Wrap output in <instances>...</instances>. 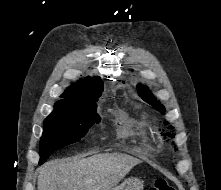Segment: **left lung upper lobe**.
<instances>
[{
	"label": "left lung upper lobe",
	"instance_id": "5c2ea615",
	"mask_svg": "<svg viewBox=\"0 0 221 190\" xmlns=\"http://www.w3.org/2000/svg\"><path fill=\"white\" fill-rule=\"evenodd\" d=\"M137 89H138L139 96L145 102L155 107L162 114H165V111H166L165 107L160 102L157 101V99L153 96L151 91L146 86L139 84L137 85Z\"/></svg>",
	"mask_w": 221,
	"mask_h": 190
}]
</instances>
